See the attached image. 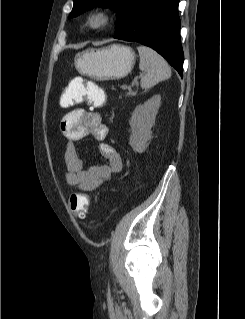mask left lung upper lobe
Segmentation results:
<instances>
[{"mask_svg":"<svg viewBox=\"0 0 245 319\" xmlns=\"http://www.w3.org/2000/svg\"><path fill=\"white\" fill-rule=\"evenodd\" d=\"M140 0H74L70 17L80 15L82 12L95 6L110 7L116 11L117 24L115 34L119 33L127 22L133 8Z\"/></svg>","mask_w":245,"mask_h":319,"instance_id":"1","label":"left lung upper lobe"}]
</instances>
